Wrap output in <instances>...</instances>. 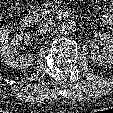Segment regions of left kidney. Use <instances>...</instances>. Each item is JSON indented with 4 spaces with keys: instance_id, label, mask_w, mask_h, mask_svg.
<instances>
[{
    "instance_id": "1",
    "label": "left kidney",
    "mask_w": 113,
    "mask_h": 113,
    "mask_svg": "<svg viewBox=\"0 0 113 113\" xmlns=\"http://www.w3.org/2000/svg\"><path fill=\"white\" fill-rule=\"evenodd\" d=\"M95 42L102 41L106 45V51L103 54L98 52L92 53V60L101 65L108 66L113 64V36L107 33H96L94 36Z\"/></svg>"
}]
</instances>
